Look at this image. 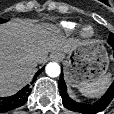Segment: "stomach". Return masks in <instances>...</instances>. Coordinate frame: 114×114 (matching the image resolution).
I'll use <instances>...</instances> for the list:
<instances>
[{"label": "stomach", "instance_id": "0dacf381", "mask_svg": "<svg viewBox=\"0 0 114 114\" xmlns=\"http://www.w3.org/2000/svg\"><path fill=\"white\" fill-rule=\"evenodd\" d=\"M53 53L63 61L65 78L73 87L108 74L110 58L101 42H78L69 51L56 50Z\"/></svg>", "mask_w": 114, "mask_h": 114}]
</instances>
